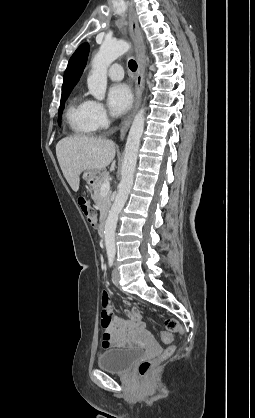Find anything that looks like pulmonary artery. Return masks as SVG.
I'll return each instance as SVG.
<instances>
[{
  "instance_id": "pulmonary-artery-1",
  "label": "pulmonary artery",
  "mask_w": 255,
  "mask_h": 418,
  "mask_svg": "<svg viewBox=\"0 0 255 418\" xmlns=\"http://www.w3.org/2000/svg\"><path fill=\"white\" fill-rule=\"evenodd\" d=\"M112 80H121L123 78V68L120 64H113L107 72Z\"/></svg>"
}]
</instances>
